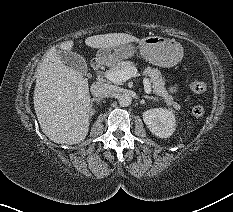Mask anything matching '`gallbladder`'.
I'll list each match as a JSON object with an SVG mask.
<instances>
[{
    "instance_id": "obj_1",
    "label": "gallbladder",
    "mask_w": 233,
    "mask_h": 212,
    "mask_svg": "<svg viewBox=\"0 0 233 212\" xmlns=\"http://www.w3.org/2000/svg\"><path fill=\"white\" fill-rule=\"evenodd\" d=\"M57 54L62 60V62L75 68L76 70L84 73L85 70L87 69V64L81 55L72 51H62V50H58Z\"/></svg>"
}]
</instances>
